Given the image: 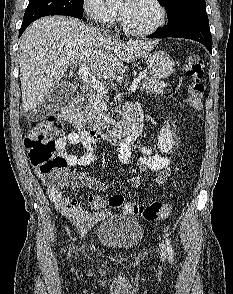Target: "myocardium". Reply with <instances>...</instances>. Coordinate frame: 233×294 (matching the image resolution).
Masks as SVG:
<instances>
[{
	"mask_svg": "<svg viewBox=\"0 0 233 294\" xmlns=\"http://www.w3.org/2000/svg\"><path fill=\"white\" fill-rule=\"evenodd\" d=\"M150 1L158 9L159 17H158L157 22L153 26H151L147 29H135L127 23L123 14L120 12L121 25H122L123 30L126 33L133 35V36H148V35L155 33L161 27L164 26L166 19H167V10H166L165 6L162 4V2L160 0H150Z\"/></svg>",
	"mask_w": 233,
	"mask_h": 294,
	"instance_id": "f54148a6",
	"label": "myocardium"
}]
</instances>
